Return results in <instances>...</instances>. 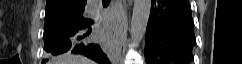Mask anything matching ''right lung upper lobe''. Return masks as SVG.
Returning <instances> with one entry per match:
<instances>
[{
  "label": "right lung upper lobe",
  "mask_w": 242,
  "mask_h": 64,
  "mask_svg": "<svg viewBox=\"0 0 242 64\" xmlns=\"http://www.w3.org/2000/svg\"><path fill=\"white\" fill-rule=\"evenodd\" d=\"M87 0H47L46 13L59 10H74L85 6Z\"/></svg>",
  "instance_id": "right-lung-upper-lobe-1"
}]
</instances>
